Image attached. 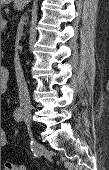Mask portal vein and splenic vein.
<instances>
[{"mask_svg":"<svg viewBox=\"0 0 109 170\" xmlns=\"http://www.w3.org/2000/svg\"><path fill=\"white\" fill-rule=\"evenodd\" d=\"M7 25V21L5 19L1 20V29H4Z\"/></svg>","mask_w":109,"mask_h":170,"instance_id":"1","label":"portal vein and splenic vein"}]
</instances>
